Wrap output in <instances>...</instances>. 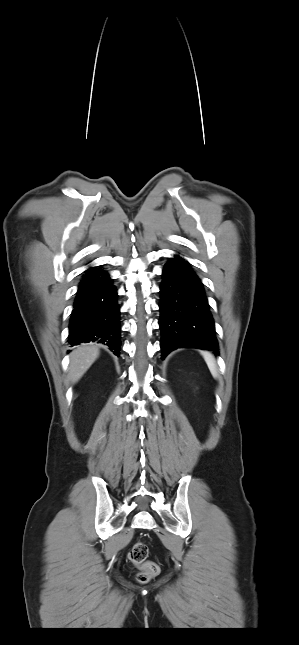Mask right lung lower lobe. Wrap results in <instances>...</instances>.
<instances>
[{"mask_svg": "<svg viewBox=\"0 0 299 645\" xmlns=\"http://www.w3.org/2000/svg\"><path fill=\"white\" fill-rule=\"evenodd\" d=\"M117 289L109 274L99 267L87 269L78 286L69 325V344H104L119 356L120 307Z\"/></svg>", "mask_w": 299, "mask_h": 645, "instance_id": "1", "label": "right lung lower lobe"}]
</instances>
